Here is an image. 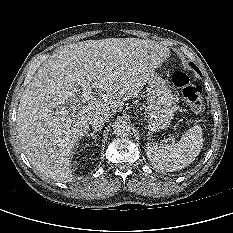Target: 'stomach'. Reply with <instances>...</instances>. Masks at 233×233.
Instances as JSON below:
<instances>
[{
    "mask_svg": "<svg viewBox=\"0 0 233 233\" xmlns=\"http://www.w3.org/2000/svg\"><path fill=\"white\" fill-rule=\"evenodd\" d=\"M146 93L149 131L158 132L167 129L176 111L171 89L161 77L154 75L148 81Z\"/></svg>",
    "mask_w": 233,
    "mask_h": 233,
    "instance_id": "obj_1",
    "label": "stomach"
}]
</instances>
